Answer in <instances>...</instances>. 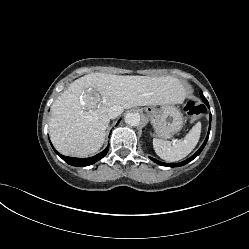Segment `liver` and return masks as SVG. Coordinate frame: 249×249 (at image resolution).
<instances>
[{"instance_id":"6515ba94","label":"liver","mask_w":249,"mask_h":249,"mask_svg":"<svg viewBox=\"0 0 249 249\" xmlns=\"http://www.w3.org/2000/svg\"><path fill=\"white\" fill-rule=\"evenodd\" d=\"M97 92L98 95H92ZM186 89L171 76H122L91 73L75 81L51 107L49 134L63 155L88 157L104 143L114 106H156L180 103Z\"/></svg>"}]
</instances>
